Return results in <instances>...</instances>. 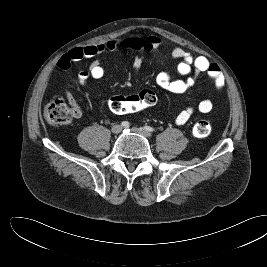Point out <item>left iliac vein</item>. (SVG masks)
I'll return each instance as SVG.
<instances>
[{"label": "left iliac vein", "instance_id": "obj_1", "mask_svg": "<svg viewBox=\"0 0 267 267\" xmlns=\"http://www.w3.org/2000/svg\"><path fill=\"white\" fill-rule=\"evenodd\" d=\"M131 130L134 133L140 134V135H142V136H144L146 138H149L152 135L149 131H146V130H144L142 128L133 127Z\"/></svg>", "mask_w": 267, "mask_h": 267}]
</instances>
